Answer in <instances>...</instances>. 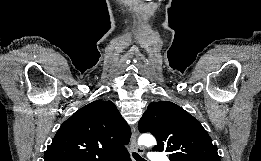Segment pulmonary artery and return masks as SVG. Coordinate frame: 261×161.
Masks as SVG:
<instances>
[{
  "label": "pulmonary artery",
  "mask_w": 261,
  "mask_h": 161,
  "mask_svg": "<svg viewBox=\"0 0 261 161\" xmlns=\"http://www.w3.org/2000/svg\"><path fill=\"white\" fill-rule=\"evenodd\" d=\"M152 161H170L167 156H153Z\"/></svg>",
  "instance_id": "e3ab8cb5"
}]
</instances>
